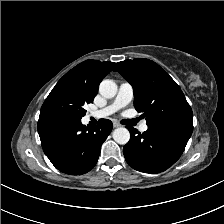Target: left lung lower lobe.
Wrapping results in <instances>:
<instances>
[{"label":"left lung lower lobe","instance_id":"1","mask_svg":"<svg viewBox=\"0 0 224 224\" xmlns=\"http://www.w3.org/2000/svg\"><path fill=\"white\" fill-rule=\"evenodd\" d=\"M127 128L131 137L123 149L125 159L132 168L146 173H159L171 167L193 131V127L172 124L148 125L143 134L133 127Z\"/></svg>","mask_w":224,"mask_h":224}]
</instances>
